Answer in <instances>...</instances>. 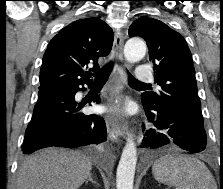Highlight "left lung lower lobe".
<instances>
[{"instance_id": "left-lung-lower-lobe-1", "label": "left lung lower lobe", "mask_w": 223, "mask_h": 189, "mask_svg": "<svg viewBox=\"0 0 223 189\" xmlns=\"http://www.w3.org/2000/svg\"><path fill=\"white\" fill-rule=\"evenodd\" d=\"M151 128L143 127V147L155 149L167 144H176L192 153H199L206 148V132L203 127L190 123L170 120L160 110L143 103Z\"/></svg>"}]
</instances>
